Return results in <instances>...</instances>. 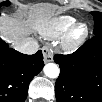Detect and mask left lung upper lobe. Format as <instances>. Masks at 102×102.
Instances as JSON below:
<instances>
[{
    "instance_id": "left-lung-upper-lobe-1",
    "label": "left lung upper lobe",
    "mask_w": 102,
    "mask_h": 102,
    "mask_svg": "<svg viewBox=\"0 0 102 102\" xmlns=\"http://www.w3.org/2000/svg\"><path fill=\"white\" fill-rule=\"evenodd\" d=\"M91 14L94 16V34H102V13L94 11L91 12Z\"/></svg>"
}]
</instances>
